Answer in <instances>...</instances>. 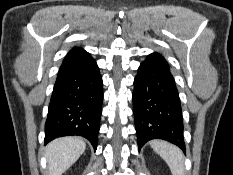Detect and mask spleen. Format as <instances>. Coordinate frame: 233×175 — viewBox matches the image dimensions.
I'll list each match as a JSON object with an SVG mask.
<instances>
[{
  "mask_svg": "<svg viewBox=\"0 0 233 175\" xmlns=\"http://www.w3.org/2000/svg\"><path fill=\"white\" fill-rule=\"evenodd\" d=\"M150 145L166 161L172 175H184V156L178 147L162 140L151 141Z\"/></svg>",
  "mask_w": 233,
  "mask_h": 175,
  "instance_id": "1",
  "label": "spleen"
}]
</instances>
